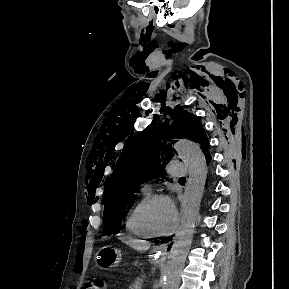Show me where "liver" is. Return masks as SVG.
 Masks as SVG:
<instances>
[{"mask_svg":"<svg viewBox=\"0 0 289 289\" xmlns=\"http://www.w3.org/2000/svg\"><path fill=\"white\" fill-rule=\"evenodd\" d=\"M125 243L137 250H147L149 248V245L147 243L139 240L130 239L125 241Z\"/></svg>","mask_w":289,"mask_h":289,"instance_id":"obj_1","label":"liver"}]
</instances>
